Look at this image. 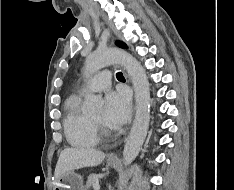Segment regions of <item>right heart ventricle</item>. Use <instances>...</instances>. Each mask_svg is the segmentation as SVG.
Returning a JSON list of instances; mask_svg holds the SVG:
<instances>
[{
  "instance_id": "1",
  "label": "right heart ventricle",
  "mask_w": 234,
  "mask_h": 190,
  "mask_svg": "<svg viewBox=\"0 0 234 190\" xmlns=\"http://www.w3.org/2000/svg\"><path fill=\"white\" fill-rule=\"evenodd\" d=\"M81 96L71 95L64 104V132L69 144L74 147H94L99 142L98 133L91 118L81 110Z\"/></svg>"
}]
</instances>
